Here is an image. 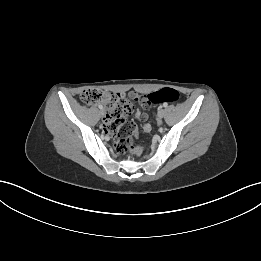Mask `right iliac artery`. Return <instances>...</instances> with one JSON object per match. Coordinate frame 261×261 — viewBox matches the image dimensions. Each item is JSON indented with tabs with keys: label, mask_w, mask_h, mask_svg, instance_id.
<instances>
[{
	"label": "right iliac artery",
	"mask_w": 261,
	"mask_h": 261,
	"mask_svg": "<svg viewBox=\"0 0 261 261\" xmlns=\"http://www.w3.org/2000/svg\"><path fill=\"white\" fill-rule=\"evenodd\" d=\"M98 107H99L100 109H103V106H102V105H99Z\"/></svg>",
	"instance_id": "right-iliac-artery-1"
}]
</instances>
